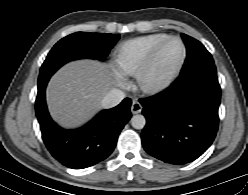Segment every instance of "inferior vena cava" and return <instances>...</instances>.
I'll return each instance as SVG.
<instances>
[{"label": "inferior vena cava", "instance_id": "602c4592", "mask_svg": "<svg viewBox=\"0 0 248 195\" xmlns=\"http://www.w3.org/2000/svg\"><path fill=\"white\" fill-rule=\"evenodd\" d=\"M125 98V93L122 90L113 88L101 100L103 108H112L118 105Z\"/></svg>", "mask_w": 248, "mask_h": 195}]
</instances>
